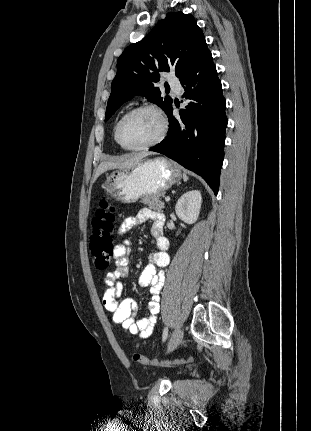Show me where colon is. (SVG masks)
I'll return each instance as SVG.
<instances>
[{
	"instance_id": "colon-1",
	"label": "colon",
	"mask_w": 311,
	"mask_h": 431,
	"mask_svg": "<svg viewBox=\"0 0 311 431\" xmlns=\"http://www.w3.org/2000/svg\"><path fill=\"white\" fill-rule=\"evenodd\" d=\"M115 223V209L110 203L108 195H104L99 201V206L92 219V233L89 240V249L93 257L96 268L100 271L108 269L114 254L112 231ZM134 360L143 365H181L191 363L192 358L175 359L163 361L149 359L148 357L136 353Z\"/></svg>"
}]
</instances>
